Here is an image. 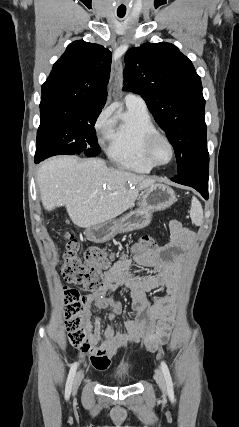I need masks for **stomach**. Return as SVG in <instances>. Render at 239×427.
Masks as SVG:
<instances>
[{
  "mask_svg": "<svg viewBox=\"0 0 239 427\" xmlns=\"http://www.w3.org/2000/svg\"><path fill=\"white\" fill-rule=\"evenodd\" d=\"M176 202L174 190L164 184L156 183L146 188L141 205L121 218L108 220L86 229L85 235L94 243L109 241L118 233L130 232L148 226L155 211L166 210Z\"/></svg>",
  "mask_w": 239,
  "mask_h": 427,
  "instance_id": "1",
  "label": "stomach"
}]
</instances>
